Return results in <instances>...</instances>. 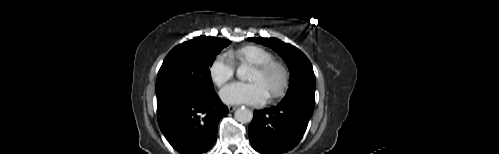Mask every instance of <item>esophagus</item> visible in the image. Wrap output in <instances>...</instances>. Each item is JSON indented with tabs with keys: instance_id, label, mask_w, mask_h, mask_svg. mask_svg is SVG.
<instances>
[{
	"instance_id": "34e87169",
	"label": "esophagus",
	"mask_w": 499,
	"mask_h": 154,
	"mask_svg": "<svg viewBox=\"0 0 499 154\" xmlns=\"http://www.w3.org/2000/svg\"><path fill=\"white\" fill-rule=\"evenodd\" d=\"M236 108H237V107H236V106H233V105H229V106H228V110H229L230 112L235 111V110H236Z\"/></svg>"
}]
</instances>
